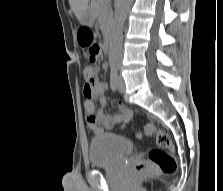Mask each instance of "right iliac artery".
Masks as SVG:
<instances>
[{
	"instance_id": "right-iliac-artery-1",
	"label": "right iliac artery",
	"mask_w": 223,
	"mask_h": 191,
	"mask_svg": "<svg viewBox=\"0 0 223 191\" xmlns=\"http://www.w3.org/2000/svg\"><path fill=\"white\" fill-rule=\"evenodd\" d=\"M110 86L113 91L117 90L118 87V81H117V68L112 67L111 68V75H110Z\"/></svg>"
}]
</instances>
